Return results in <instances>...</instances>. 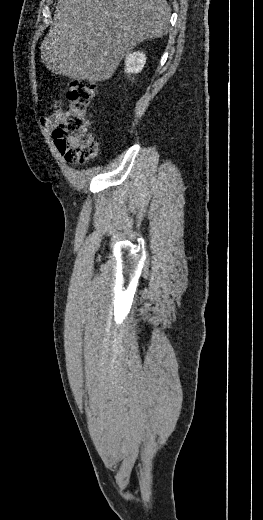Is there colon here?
<instances>
[{
	"label": "colon",
	"instance_id": "obj_1",
	"mask_svg": "<svg viewBox=\"0 0 263 520\" xmlns=\"http://www.w3.org/2000/svg\"><path fill=\"white\" fill-rule=\"evenodd\" d=\"M92 80H73L68 86V104L53 132L58 151L70 162H85L97 155V144L89 133L88 108L95 96Z\"/></svg>",
	"mask_w": 263,
	"mask_h": 520
}]
</instances>
